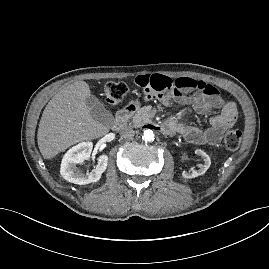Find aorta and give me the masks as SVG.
I'll return each instance as SVG.
<instances>
[{
  "instance_id": "1",
  "label": "aorta",
  "mask_w": 269,
  "mask_h": 269,
  "mask_svg": "<svg viewBox=\"0 0 269 269\" xmlns=\"http://www.w3.org/2000/svg\"><path fill=\"white\" fill-rule=\"evenodd\" d=\"M142 139L145 141V142H152L154 141L155 139V134L152 130L148 129V130H145L143 135H142Z\"/></svg>"
}]
</instances>
